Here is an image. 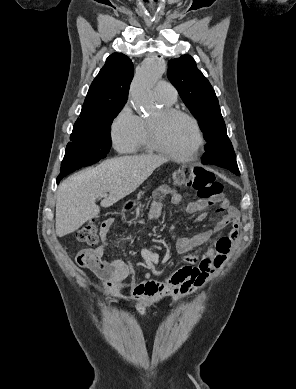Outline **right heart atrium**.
I'll return each instance as SVG.
<instances>
[{"label": "right heart atrium", "instance_id": "d8ad5b80", "mask_svg": "<svg viewBox=\"0 0 296 389\" xmlns=\"http://www.w3.org/2000/svg\"><path fill=\"white\" fill-rule=\"evenodd\" d=\"M140 117L136 115L130 104H125L114 117L110 126L113 146L121 153L132 152L140 134Z\"/></svg>", "mask_w": 296, "mask_h": 389}]
</instances>
